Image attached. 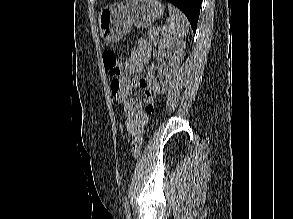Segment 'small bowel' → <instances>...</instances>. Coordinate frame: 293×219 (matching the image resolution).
Returning a JSON list of instances; mask_svg holds the SVG:
<instances>
[{
    "mask_svg": "<svg viewBox=\"0 0 293 219\" xmlns=\"http://www.w3.org/2000/svg\"><path fill=\"white\" fill-rule=\"evenodd\" d=\"M151 55L150 44L142 40L137 47H135L131 55L125 60L123 64V71L119 77L114 79L117 84V90L112 88L111 91L115 99L123 106L125 116V128L133 136H138L143 133L144 128L149 122V115L151 114L148 107L155 108L156 93L148 88L147 82L144 78H131L133 75L139 73L144 65L148 62ZM131 88H142L145 96V106L142 103L129 98Z\"/></svg>",
    "mask_w": 293,
    "mask_h": 219,
    "instance_id": "small-bowel-1",
    "label": "small bowel"
}]
</instances>
